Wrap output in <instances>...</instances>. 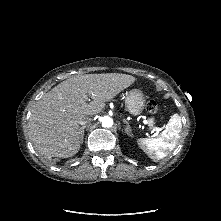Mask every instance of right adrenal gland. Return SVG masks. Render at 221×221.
Returning a JSON list of instances; mask_svg holds the SVG:
<instances>
[{
    "instance_id": "2a0ac1e0",
    "label": "right adrenal gland",
    "mask_w": 221,
    "mask_h": 221,
    "mask_svg": "<svg viewBox=\"0 0 221 221\" xmlns=\"http://www.w3.org/2000/svg\"><path fill=\"white\" fill-rule=\"evenodd\" d=\"M86 128V125L82 126L80 128V140H81V143H83V139H84V130Z\"/></svg>"
}]
</instances>
